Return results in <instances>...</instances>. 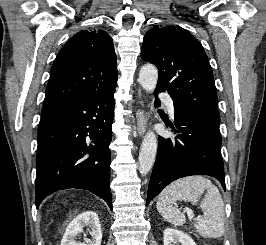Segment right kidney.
I'll return each instance as SVG.
<instances>
[{
  "mask_svg": "<svg viewBox=\"0 0 266 245\" xmlns=\"http://www.w3.org/2000/svg\"><path fill=\"white\" fill-rule=\"evenodd\" d=\"M73 245H83V243H77L75 241L78 233H83L84 227L91 229V241H87L89 245H101L102 241V231L99 223V217L94 211H86V213H81L77 215L73 221Z\"/></svg>",
  "mask_w": 266,
  "mask_h": 245,
  "instance_id": "1",
  "label": "right kidney"
}]
</instances>
